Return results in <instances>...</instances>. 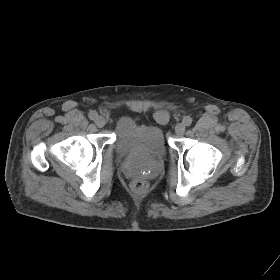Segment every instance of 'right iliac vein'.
<instances>
[{
	"mask_svg": "<svg viewBox=\"0 0 280 280\" xmlns=\"http://www.w3.org/2000/svg\"><path fill=\"white\" fill-rule=\"evenodd\" d=\"M95 124L99 127L102 128L106 124V119L103 116H98L97 119L95 120Z\"/></svg>",
	"mask_w": 280,
	"mask_h": 280,
	"instance_id": "obj_1",
	"label": "right iliac vein"
}]
</instances>
